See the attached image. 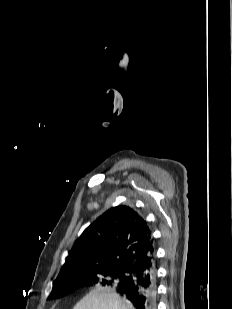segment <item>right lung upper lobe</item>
I'll return each instance as SVG.
<instances>
[{
	"instance_id": "obj_1",
	"label": "right lung upper lobe",
	"mask_w": 232,
	"mask_h": 309,
	"mask_svg": "<svg viewBox=\"0 0 232 309\" xmlns=\"http://www.w3.org/2000/svg\"><path fill=\"white\" fill-rule=\"evenodd\" d=\"M151 231L132 208L109 209L75 241L53 285L97 270L128 269L146 257H154ZM49 299H56L51 294Z\"/></svg>"
}]
</instances>
